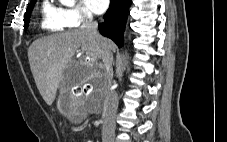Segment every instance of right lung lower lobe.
<instances>
[{"instance_id":"1","label":"right lung lower lobe","mask_w":227,"mask_h":142,"mask_svg":"<svg viewBox=\"0 0 227 142\" xmlns=\"http://www.w3.org/2000/svg\"><path fill=\"white\" fill-rule=\"evenodd\" d=\"M130 5L131 0H111L104 15L105 22L98 25L100 33L112 39L119 47L123 44V32Z\"/></svg>"}]
</instances>
